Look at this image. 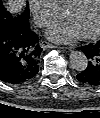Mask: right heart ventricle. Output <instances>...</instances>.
<instances>
[{
  "mask_svg": "<svg viewBox=\"0 0 100 118\" xmlns=\"http://www.w3.org/2000/svg\"><path fill=\"white\" fill-rule=\"evenodd\" d=\"M59 6H66L71 0H54Z\"/></svg>",
  "mask_w": 100,
  "mask_h": 118,
  "instance_id": "e07e8e85",
  "label": "right heart ventricle"
}]
</instances>
